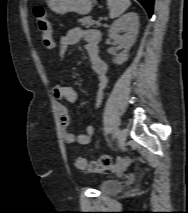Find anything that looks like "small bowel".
I'll return each instance as SVG.
<instances>
[{"label":"small bowel","mask_w":188,"mask_h":213,"mask_svg":"<svg viewBox=\"0 0 188 213\" xmlns=\"http://www.w3.org/2000/svg\"><path fill=\"white\" fill-rule=\"evenodd\" d=\"M101 35L98 30L87 28H73L68 31L61 39L58 51L59 57L63 60L69 47L76 45L83 41L86 52L90 59V69L94 73L98 81V92L96 96V107L102 104L104 98V90L108 83L107 78V64L99 56V43ZM53 95L56 100L57 110L60 115V121L63 131V137L66 143L73 144H89L94 134V126L88 125L84 133L76 135L71 130V118L68 108L63 103H76L79 100L78 93L70 86L58 84L54 87Z\"/></svg>","instance_id":"c3829d8e"}]
</instances>
